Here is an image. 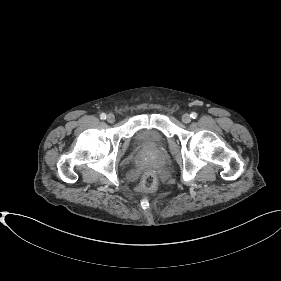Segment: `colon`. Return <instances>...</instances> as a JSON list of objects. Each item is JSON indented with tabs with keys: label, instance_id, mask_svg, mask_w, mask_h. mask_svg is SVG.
<instances>
[{
	"label": "colon",
	"instance_id": "5ec220e1",
	"mask_svg": "<svg viewBox=\"0 0 281 281\" xmlns=\"http://www.w3.org/2000/svg\"><path fill=\"white\" fill-rule=\"evenodd\" d=\"M157 176L155 171L148 170L143 174L140 185L136 188L138 192H150L155 188Z\"/></svg>",
	"mask_w": 281,
	"mask_h": 281
}]
</instances>
